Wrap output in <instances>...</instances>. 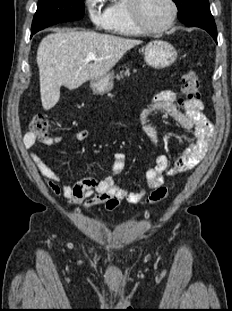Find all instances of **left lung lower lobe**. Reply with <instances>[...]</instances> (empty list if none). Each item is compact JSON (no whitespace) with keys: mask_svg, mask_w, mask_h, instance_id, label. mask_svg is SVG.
I'll return each instance as SVG.
<instances>
[{"mask_svg":"<svg viewBox=\"0 0 232 311\" xmlns=\"http://www.w3.org/2000/svg\"><path fill=\"white\" fill-rule=\"evenodd\" d=\"M181 22L189 27L195 26L206 30L217 42L216 25L209 7H206L196 14L185 18Z\"/></svg>","mask_w":232,"mask_h":311,"instance_id":"left-lung-lower-lobe-1","label":"left lung lower lobe"}]
</instances>
